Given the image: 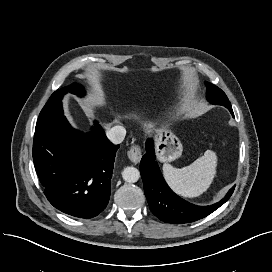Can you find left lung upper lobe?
Returning <instances> with one entry per match:
<instances>
[{"label": "left lung upper lobe", "instance_id": "obj_1", "mask_svg": "<svg viewBox=\"0 0 272 272\" xmlns=\"http://www.w3.org/2000/svg\"><path fill=\"white\" fill-rule=\"evenodd\" d=\"M205 84L207 87L208 101L212 104L222 105L227 109L232 108L226 94L220 88L208 82H205Z\"/></svg>", "mask_w": 272, "mask_h": 272}]
</instances>
